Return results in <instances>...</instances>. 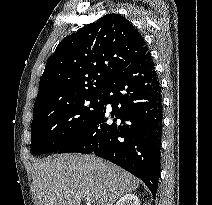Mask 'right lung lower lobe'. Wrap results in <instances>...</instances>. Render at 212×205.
Listing matches in <instances>:
<instances>
[{
  "mask_svg": "<svg viewBox=\"0 0 212 205\" xmlns=\"http://www.w3.org/2000/svg\"><path fill=\"white\" fill-rule=\"evenodd\" d=\"M102 95L104 105L112 104V112L103 106L97 117L57 152L94 153L140 178L155 197L160 175L162 96L150 52L111 80Z\"/></svg>",
  "mask_w": 212,
  "mask_h": 205,
  "instance_id": "right-lung-lower-lobe-1",
  "label": "right lung lower lobe"
}]
</instances>
